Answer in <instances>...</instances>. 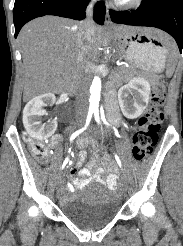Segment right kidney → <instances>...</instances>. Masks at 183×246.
<instances>
[{"instance_id":"ca27d5eb","label":"right kidney","mask_w":183,"mask_h":246,"mask_svg":"<svg viewBox=\"0 0 183 246\" xmlns=\"http://www.w3.org/2000/svg\"><path fill=\"white\" fill-rule=\"evenodd\" d=\"M55 102V96L46 93L31 99L23 110L24 127L33 139L45 140L52 136L57 129V121L42 122V116L46 114L45 107Z\"/></svg>"}]
</instances>
